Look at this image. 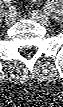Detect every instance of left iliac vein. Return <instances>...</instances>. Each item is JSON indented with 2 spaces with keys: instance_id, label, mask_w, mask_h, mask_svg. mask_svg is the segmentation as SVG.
I'll return each instance as SVG.
<instances>
[{
  "instance_id": "left-iliac-vein-1",
  "label": "left iliac vein",
  "mask_w": 63,
  "mask_h": 107,
  "mask_svg": "<svg viewBox=\"0 0 63 107\" xmlns=\"http://www.w3.org/2000/svg\"><path fill=\"white\" fill-rule=\"evenodd\" d=\"M31 17L35 20H37L38 22H40L42 25L48 26L50 25V19L47 15H45L44 13L38 11V10H32L30 12Z\"/></svg>"
}]
</instances>
